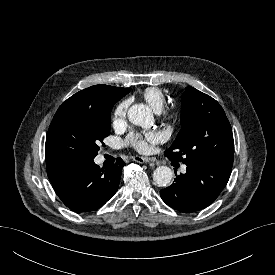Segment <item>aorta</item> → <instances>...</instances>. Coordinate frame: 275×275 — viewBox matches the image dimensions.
Instances as JSON below:
<instances>
[{"mask_svg": "<svg viewBox=\"0 0 275 275\" xmlns=\"http://www.w3.org/2000/svg\"><path fill=\"white\" fill-rule=\"evenodd\" d=\"M129 121L137 126L150 128L154 123L151 109L144 104H135L128 110ZM173 178L172 170L167 166H159L153 172V180L160 187L167 186Z\"/></svg>", "mask_w": 275, "mask_h": 275, "instance_id": "1", "label": "aorta"}]
</instances>
